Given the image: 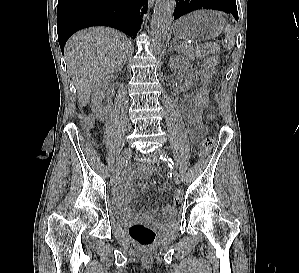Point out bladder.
Here are the masks:
<instances>
[{
	"label": "bladder",
	"mask_w": 299,
	"mask_h": 273,
	"mask_svg": "<svg viewBox=\"0 0 299 273\" xmlns=\"http://www.w3.org/2000/svg\"><path fill=\"white\" fill-rule=\"evenodd\" d=\"M130 219H131L130 216L121 214L119 212H116L114 214V220L119 225H123V224L127 223ZM174 220H175V218H170L169 222L172 223V222H174Z\"/></svg>",
	"instance_id": "obj_1"
}]
</instances>
